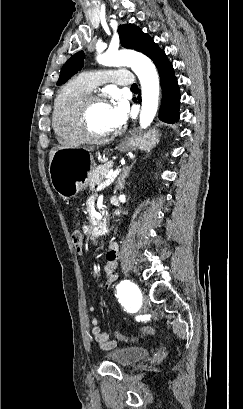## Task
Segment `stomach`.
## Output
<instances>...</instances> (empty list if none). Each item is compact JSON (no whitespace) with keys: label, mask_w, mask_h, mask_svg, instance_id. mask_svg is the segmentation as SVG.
<instances>
[{"label":"stomach","mask_w":243,"mask_h":409,"mask_svg":"<svg viewBox=\"0 0 243 409\" xmlns=\"http://www.w3.org/2000/svg\"><path fill=\"white\" fill-rule=\"evenodd\" d=\"M158 131L151 130L144 135H132L118 145L121 152L140 149L151 150L158 142ZM95 169L90 153L78 149L62 148L55 152L49 174L52 186L61 196L71 197L86 188L88 177Z\"/></svg>","instance_id":"obj_1"}]
</instances>
